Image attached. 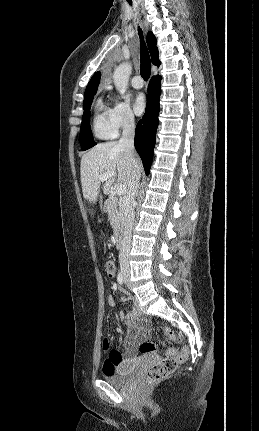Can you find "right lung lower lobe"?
<instances>
[{"instance_id": "1", "label": "right lung lower lobe", "mask_w": 259, "mask_h": 431, "mask_svg": "<svg viewBox=\"0 0 259 431\" xmlns=\"http://www.w3.org/2000/svg\"><path fill=\"white\" fill-rule=\"evenodd\" d=\"M160 76H154L148 86V100L145 114L138 122L135 132V148L140 155L146 175L149 174L153 160L158 127Z\"/></svg>"}]
</instances>
